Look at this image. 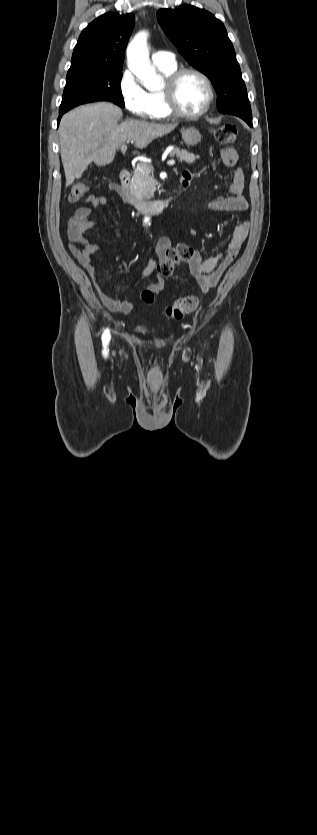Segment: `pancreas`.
<instances>
[{
    "instance_id": "cf45deb5",
    "label": "pancreas",
    "mask_w": 317,
    "mask_h": 835,
    "mask_svg": "<svg viewBox=\"0 0 317 835\" xmlns=\"http://www.w3.org/2000/svg\"><path fill=\"white\" fill-rule=\"evenodd\" d=\"M170 156L177 157L180 162H186L187 164H191L199 158L198 155H194L187 150H180L179 148L173 149ZM143 165H145L146 170H135L132 180L128 186L127 198L132 204H136L145 199H150L155 191L156 181L151 176L153 167L149 164Z\"/></svg>"
}]
</instances>
